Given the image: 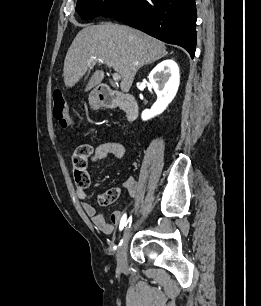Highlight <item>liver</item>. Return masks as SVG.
<instances>
[{
	"instance_id": "liver-1",
	"label": "liver",
	"mask_w": 261,
	"mask_h": 306,
	"mask_svg": "<svg viewBox=\"0 0 261 306\" xmlns=\"http://www.w3.org/2000/svg\"><path fill=\"white\" fill-rule=\"evenodd\" d=\"M165 54L164 43L136 29L110 23L87 26L78 32L67 51L64 83L66 87H73L91 68L88 66L90 59L96 57L121 76V90L128 92L138 69ZM103 79L104 71L96 70L85 91L91 90Z\"/></svg>"
}]
</instances>
